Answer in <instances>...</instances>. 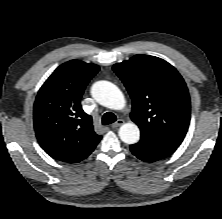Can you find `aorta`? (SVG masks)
I'll use <instances>...</instances> for the list:
<instances>
[{"mask_svg": "<svg viewBox=\"0 0 222 219\" xmlns=\"http://www.w3.org/2000/svg\"><path fill=\"white\" fill-rule=\"evenodd\" d=\"M91 94L99 104L113 110L123 109L126 103L120 89L109 81L101 80L94 83ZM118 133L120 139L126 144H135L140 138V130L134 123L123 124Z\"/></svg>", "mask_w": 222, "mask_h": 219, "instance_id": "obj_1", "label": "aorta"}]
</instances>
